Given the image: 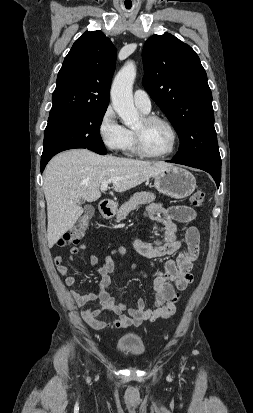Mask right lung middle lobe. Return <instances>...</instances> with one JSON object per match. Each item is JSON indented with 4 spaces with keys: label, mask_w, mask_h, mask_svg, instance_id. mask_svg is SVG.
<instances>
[{
    "label": "right lung middle lobe",
    "mask_w": 253,
    "mask_h": 413,
    "mask_svg": "<svg viewBox=\"0 0 253 413\" xmlns=\"http://www.w3.org/2000/svg\"><path fill=\"white\" fill-rule=\"evenodd\" d=\"M106 109L69 111L49 115L42 156L64 147L104 146L100 125Z\"/></svg>",
    "instance_id": "obj_1"
}]
</instances>
